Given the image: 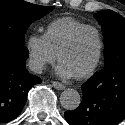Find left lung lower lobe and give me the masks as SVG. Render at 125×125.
<instances>
[{"instance_id": "1", "label": "left lung lower lobe", "mask_w": 125, "mask_h": 125, "mask_svg": "<svg viewBox=\"0 0 125 125\" xmlns=\"http://www.w3.org/2000/svg\"><path fill=\"white\" fill-rule=\"evenodd\" d=\"M83 99L65 112L70 125H117L125 119V57H117L82 86Z\"/></svg>"}]
</instances>
